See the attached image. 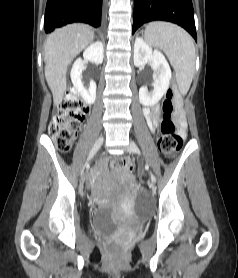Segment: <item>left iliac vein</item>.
<instances>
[{
  "instance_id": "4c4485c4",
  "label": "left iliac vein",
  "mask_w": 238,
  "mask_h": 278,
  "mask_svg": "<svg viewBox=\"0 0 238 278\" xmlns=\"http://www.w3.org/2000/svg\"><path fill=\"white\" fill-rule=\"evenodd\" d=\"M127 148L130 153L139 154L138 146L132 140H130ZM155 181H156L155 176L153 174H151V179H150L149 185L152 187V190H156Z\"/></svg>"
}]
</instances>
